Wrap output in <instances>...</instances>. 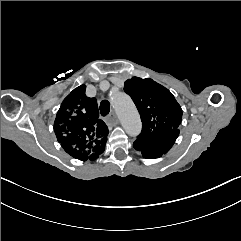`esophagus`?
<instances>
[{
	"label": "esophagus",
	"mask_w": 241,
	"mask_h": 241,
	"mask_svg": "<svg viewBox=\"0 0 241 241\" xmlns=\"http://www.w3.org/2000/svg\"><path fill=\"white\" fill-rule=\"evenodd\" d=\"M109 117H110L112 125H114V124H116L118 122L117 115L115 114L114 111L111 112Z\"/></svg>",
	"instance_id": "esophagus-1"
}]
</instances>
